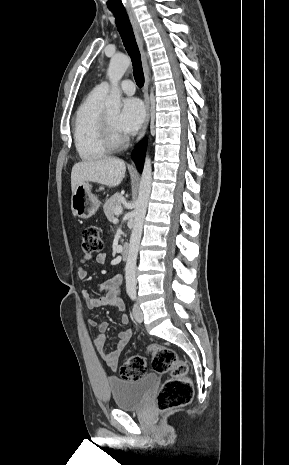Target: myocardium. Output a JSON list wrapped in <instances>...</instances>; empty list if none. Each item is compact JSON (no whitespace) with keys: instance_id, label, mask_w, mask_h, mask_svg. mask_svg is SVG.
Returning <instances> with one entry per match:
<instances>
[{"instance_id":"obj_1","label":"myocardium","mask_w":289,"mask_h":465,"mask_svg":"<svg viewBox=\"0 0 289 465\" xmlns=\"http://www.w3.org/2000/svg\"><path fill=\"white\" fill-rule=\"evenodd\" d=\"M101 135L103 142L110 149L120 148L125 143V139L113 125L106 111H104L101 119Z\"/></svg>"}]
</instances>
